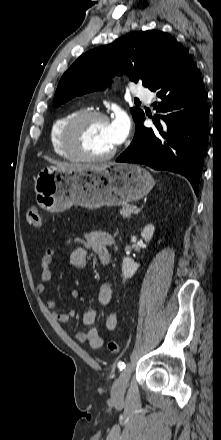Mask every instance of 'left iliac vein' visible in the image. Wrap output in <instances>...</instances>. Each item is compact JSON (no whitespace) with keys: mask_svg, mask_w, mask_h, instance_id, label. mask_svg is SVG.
<instances>
[{"mask_svg":"<svg viewBox=\"0 0 221 440\" xmlns=\"http://www.w3.org/2000/svg\"><path fill=\"white\" fill-rule=\"evenodd\" d=\"M131 369L129 366L124 368L119 377L116 379V381L113 383L112 389H111V397L114 400H120L124 397L126 388L128 386V382L130 379Z\"/></svg>","mask_w":221,"mask_h":440,"instance_id":"1","label":"left iliac vein"}]
</instances>
